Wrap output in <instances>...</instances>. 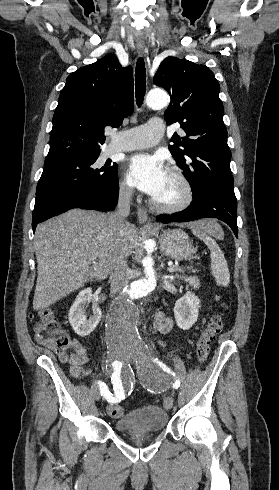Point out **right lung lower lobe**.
Segmentation results:
<instances>
[{
    "mask_svg": "<svg viewBox=\"0 0 279 490\" xmlns=\"http://www.w3.org/2000/svg\"><path fill=\"white\" fill-rule=\"evenodd\" d=\"M118 181L106 187L46 189L36 194L32 228L38 223L73 208L111 211L118 200Z\"/></svg>",
    "mask_w": 279,
    "mask_h": 490,
    "instance_id": "1",
    "label": "right lung lower lobe"
}]
</instances>
